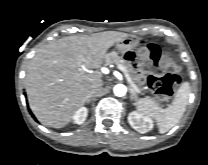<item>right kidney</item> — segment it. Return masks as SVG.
Instances as JSON below:
<instances>
[{
	"instance_id": "obj_1",
	"label": "right kidney",
	"mask_w": 208,
	"mask_h": 165,
	"mask_svg": "<svg viewBox=\"0 0 208 165\" xmlns=\"http://www.w3.org/2000/svg\"><path fill=\"white\" fill-rule=\"evenodd\" d=\"M88 110L85 107L79 108L73 115L74 123L82 124L86 120Z\"/></svg>"
}]
</instances>
